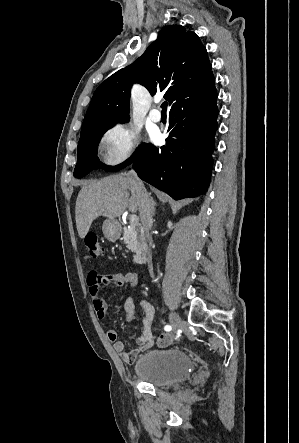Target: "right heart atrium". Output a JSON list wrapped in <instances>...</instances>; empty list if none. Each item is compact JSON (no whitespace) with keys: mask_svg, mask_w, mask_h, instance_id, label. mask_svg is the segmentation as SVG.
Masks as SVG:
<instances>
[{"mask_svg":"<svg viewBox=\"0 0 299 443\" xmlns=\"http://www.w3.org/2000/svg\"><path fill=\"white\" fill-rule=\"evenodd\" d=\"M140 138L139 130L129 123H118L104 131L100 147L104 161L109 165L120 164L131 158Z\"/></svg>","mask_w":299,"mask_h":443,"instance_id":"1","label":"right heart atrium"}]
</instances>
